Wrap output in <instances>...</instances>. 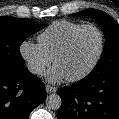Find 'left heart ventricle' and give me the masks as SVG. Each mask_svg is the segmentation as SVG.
<instances>
[{
  "mask_svg": "<svg viewBox=\"0 0 119 119\" xmlns=\"http://www.w3.org/2000/svg\"><path fill=\"white\" fill-rule=\"evenodd\" d=\"M100 47V37L94 29L81 32L70 50L56 62L66 77H73L86 70L95 59Z\"/></svg>",
  "mask_w": 119,
  "mask_h": 119,
  "instance_id": "obj_1",
  "label": "left heart ventricle"
}]
</instances>
